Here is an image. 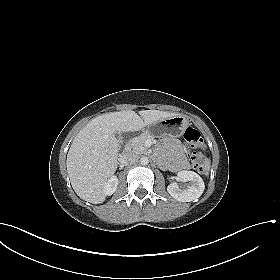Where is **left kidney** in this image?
Segmentation results:
<instances>
[{"instance_id": "1", "label": "left kidney", "mask_w": 280, "mask_h": 280, "mask_svg": "<svg viewBox=\"0 0 280 280\" xmlns=\"http://www.w3.org/2000/svg\"><path fill=\"white\" fill-rule=\"evenodd\" d=\"M177 178L181 182H190L186 188H181L177 183H171L167 187L168 193L178 201L190 202L199 198L205 185L202 178L193 171H180L177 173Z\"/></svg>"}]
</instances>
